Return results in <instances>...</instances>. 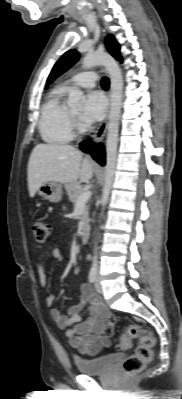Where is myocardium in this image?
<instances>
[{
    "mask_svg": "<svg viewBox=\"0 0 182 399\" xmlns=\"http://www.w3.org/2000/svg\"><path fill=\"white\" fill-rule=\"evenodd\" d=\"M70 119H71L72 126H74L75 128H80V123L77 119V116L74 115L72 112H70Z\"/></svg>",
    "mask_w": 182,
    "mask_h": 399,
    "instance_id": "f54148a6",
    "label": "myocardium"
}]
</instances>
